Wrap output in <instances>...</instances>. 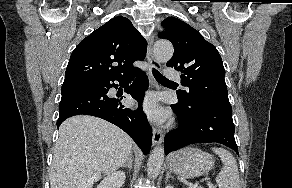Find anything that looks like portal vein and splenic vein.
Returning <instances> with one entry per match:
<instances>
[{"label":"portal vein and splenic vein","instance_id":"1","mask_svg":"<svg viewBox=\"0 0 292 188\" xmlns=\"http://www.w3.org/2000/svg\"><path fill=\"white\" fill-rule=\"evenodd\" d=\"M209 188H216L212 183L208 182ZM189 188H197V183L194 185H191Z\"/></svg>","mask_w":292,"mask_h":188}]
</instances>
